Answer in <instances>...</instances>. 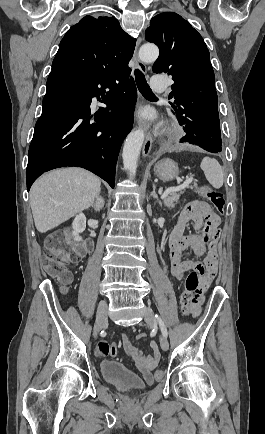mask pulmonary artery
Here are the masks:
<instances>
[{
    "label": "pulmonary artery",
    "instance_id": "obj_1",
    "mask_svg": "<svg viewBox=\"0 0 265 434\" xmlns=\"http://www.w3.org/2000/svg\"><path fill=\"white\" fill-rule=\"evenodd\" d=\"M151 84H165V75H151Z\"/></svg>",
    "mask_w": 265,
    "mask_h": 434
}]
</instances>
